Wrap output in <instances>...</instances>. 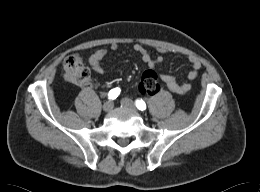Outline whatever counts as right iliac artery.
<instances>
[{
    "instance_id": "right-iliac-artery-1",
    "label": "right iliac artery",
    "mask_w": 260,
    "mask_h": 192,
    "mask_svg": "<svg viewBox=\"0 0 260 192\" xmlns=\"http://www.w3.org/2000/svg\"><path fill=\"white\" fill-rule=\"evenodd\" d=\"M120 94L119 88H114L109 92V99H115Z\"/></svg>"
}]
</instances>
